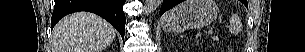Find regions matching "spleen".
Listing matches in <instances>:
<instances>
[{"label": "spleen", "mask_w": 305, "mask_h": 52, "mask_svg": "<svg viewBox=\"0 0 305 52\" xmlns=\"http://www.w3.org/2000/svg\"><path fill=\"white\" fill-rule=\"evenodd\" d=\"M230 31L234 34H238V32L240 31V23H239V20L234 17V16H231L230 18Z\"/></svg>", "instance_id": "obj_1"}]
</instances>
